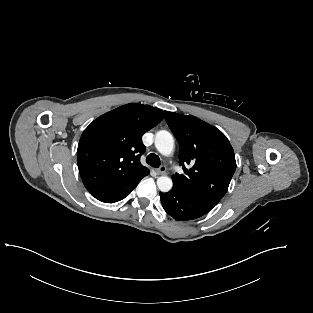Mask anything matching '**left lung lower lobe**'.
Listing matches in <instances>:
<instances>
[{
  "mask_svg": "<svg viewBox=\"0 0 313 313\" xmlns=\"http://www.w3.org/2000/svg\"><path fill=\"white\" fill-rule=\"evenodd\" d=\"M159 194L164 210L176 220L199 218L216 205L203 198L187 194L175 186L169 192Z\"/></svg>",
  "mask_w": 313,
  "mask_h": 313,
  "instance_id": "obj_1",
  "label": "left lung lower lobe"
}]
</instances>
